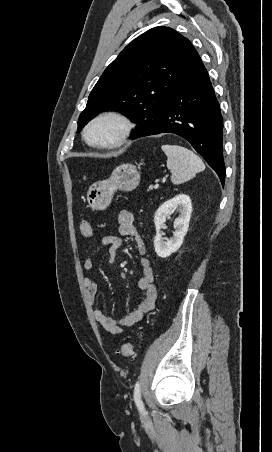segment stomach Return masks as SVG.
Wrapping results in <instances>:
<instances>
[{
	"instance_id": "1",
	"label": "stomach",
	"mask_w": 272,
	"mask_h": 452,
	"mask_svg": "<svg viewBox=\"0 0 272 452\" xmlns=\"http://www.w3.org/2000/svg\"><path fill=\"white\" fill-rule=\"evenodd\" d=\"M140 183V172L132 164L117 166L111 176L99 182L93 183L86 191L88 207L93 210L106 209L117 190L132 191Z\"/></svg>"
}]
</instances>
